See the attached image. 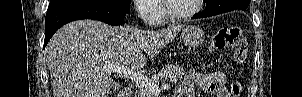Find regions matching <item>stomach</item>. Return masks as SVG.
<instances>
[{
    "label": "stomach",
    "instance_id": "stomach-1",
    "mask_svg": "<svg viewBox=\"0 0 302 97\" xmlns=\"http://www.w3.org/2000/svg\"><path fill=\"white\" fill-rule=\"evenodd\" d=\"M181 40L187 47L195 48L203 44L205 34L201 28L194 25H188L182 29Z\"/></svg>",
    "mask_w": 302,
    "mask_h": 97
}]
</instances>
